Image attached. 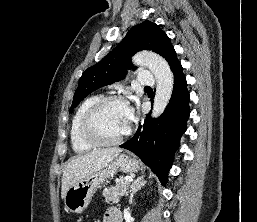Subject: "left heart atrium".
<instances>
[{"instance_id":"left-heart-atrium-1","label":"left heart atrium","mask_w":257,"mask_h":222,"mask_svg":"<svg viewBox=\"0 0 257 222\" xmlns=\"http://www.w3.org/2000/svg\"><path fill=\"white\" fill-rule=\"evenodd\" d=\"M126 115L130 124L134 120V109L132 107H127Z\"/></svg>"}]
</instances>
